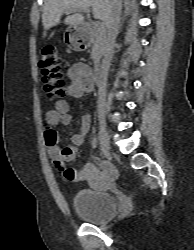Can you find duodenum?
<instances>
[{"label": "duodenum", "instance_id": "obj_1", "mask_svg": "<svg viewBox=\"0 0 194 250\" xmlns=\"http://www.w3.org/2000/svg\"><path fill=\"white\" fill-rule=\"evenodd\" d=\"M92 82L94 84L99 83L100 78H101V65L100 64H96L94 65L93 69H92Z\"/></svg>", "mask_w": 194, "mask_h": 250}]
</instances>
